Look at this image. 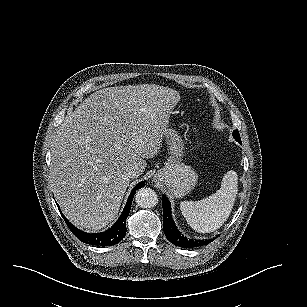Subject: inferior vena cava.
Returning <instances> with one entry per match:
<instances>
[{
	"mask_svg": "<svg viewBox=\"0 0 307 307\" xmlns=\"http://www.w3.org/2000/svg\"><path fill=\"white\" fill-rule=\"evenodd\" d=\"M127 176L129 178H134L136 176V172H134V171L128 172Z\"/></svg>",
	"mask_w": 307,
	"mask_h": 307,
	"instance_id": "obj_1",
	"label": "inferior vena cava"
}]
</instances>
